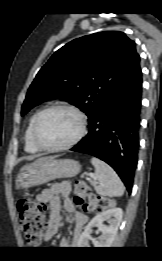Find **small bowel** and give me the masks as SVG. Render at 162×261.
Segmentation results:
<instances>
[{"label": "small bowel", "mask_w": 162, "mask_h": 261, "mask_svg": "<svg viewBox=\"0 0 162 261\" xmlns=\"http://www.w3.org/2000/svg\"><path fill=\"white\" fill-rule=\"evenodd\" d=\"M71 185L67 181L55 182L49 188L44 189L37 195V200L44 204L49 211V220L44 238L49 241L58 231L60 225V208L62 205L69 214H74L75 229L74 234L78 236L88 217L77 211L74 203L70 199ZM62 247L68 245L67 240H62Z\"/></svg>", "instance_id": "1"}]
</instances>
